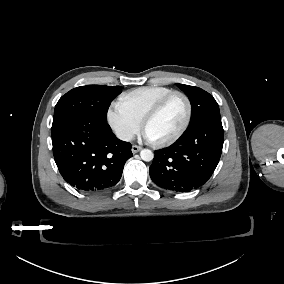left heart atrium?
Segmentation results:
<instances>
[{
    "instance_id": "left-heart-atrium-1",
    "label": "left heart atrium",
    "mask_w": 284,
    "mask_h": 284,
    "mask_svg": "<svg viewBox=\"0 0 284 284\" xmlns=\"http://www.w3.org/2000/svg\"><path fill=\"white\" fill-rule=\"evenodd\" d=\"M140 137H142L143 139H145L147 141H153L151 135L145 129L143 131H141Z\"/></svg>"
}]
</instances>
